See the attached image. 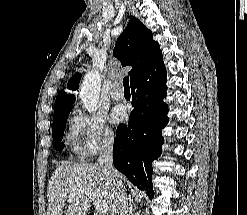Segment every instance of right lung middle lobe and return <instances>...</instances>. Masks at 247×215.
Returning <instances> with one entry per match:
<instances>
[{
	"instance_id": "right-lung-middle-lobe-1",
	"label": "right lung middle lobe",
	"mask_w": 247,
	"mask_h": 215,
	"mask_svg": "<svg viewBox=\"0 0 247 215\" xmlns=\"http://www.w3.org/2000/svg\"><path fill=\"white\" fill-rule=\"evenodd\" d=\"M69 113H70V108L54 115L52 136H53V147L56 150L63 149V143L61 142V140L63 137V133Z\"/></svg>"
}]
</instances>
